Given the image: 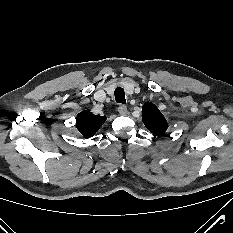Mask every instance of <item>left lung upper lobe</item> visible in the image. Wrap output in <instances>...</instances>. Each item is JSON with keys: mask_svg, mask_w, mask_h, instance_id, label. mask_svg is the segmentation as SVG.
Masks as SVG:
<instances>
[{"mask_svg": "<svg viewBox=\"0 0 233 233\" xmlns=\"http://www.w3.org/2000/svg\"><path fill=\"white\" fill-rule=\"evenodd\" d=\"M142 121L148 130L154 134H164L168 123L159 109L151 102H146L142 107Z\"/></svg>", "mask_w": 233, "mask_h": 233, "instance_id": "1", "label": "left lung upper lobe"}]
</instances>
